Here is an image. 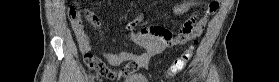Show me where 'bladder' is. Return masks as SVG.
Instances as JSON below:
<instances>
[{
    "label": "bladder",
    "instance_id": "31cf9c89",
    "mask_svg": "<svg viewBox=\"0 0 279 82\" xmlns=\"http://www.w3.org/2000/svg\"><path fill=\"white\" fill-rule=\"evenodd\" d=\"M122 82H147V78L142 73H133L128 75Z\"/></svg>",
    "mask_w": 279,
    "mask_h": 82
}]
</instances>
